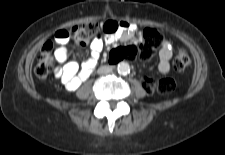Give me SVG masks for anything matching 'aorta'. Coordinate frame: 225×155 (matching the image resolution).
<instances>
[{
	"mask_svg": "<svg viewBox=\"0 0 225 155\" xmlns=\"http://www.w3.org/2000/svg\"><path fill=\"white\" fill-rule=\"evenodd\" d=\"M117 71L119 74L126 75L130 72V66L126 62H120L117 66Z\"/></svg>",
	"mask_w": 225,
	"mask_h": 155,
	"instance_id": "obj_1",
	"label": "aorta"
}]
</instances>
